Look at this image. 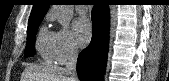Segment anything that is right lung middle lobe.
<instances>
[{
    "label": "right lung middle lobe",
    "mask_w": 169,
    "mask_h": 81,
    "mask_svg": "<svg viewBox=\"0 0 169 81\" xmlns=\"http://www.w3.org/2000/svg\"><path fill=\"white\" fill-rule=\"evenodd\" d=\"M41 21L42 20H38L28 24L25 57L32 56L35 54V37L38 26Z\"/></svg>",
    "instance_id": "obj_1"
}]
</instances>
